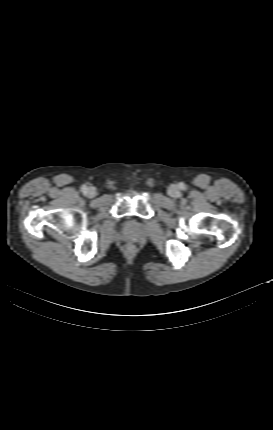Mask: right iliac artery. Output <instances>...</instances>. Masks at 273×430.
<instances>
[{
    "instance_id": "82829eb1",
    "label": "right iliac artery",
    "mask_w": 273,
    "mask_h": 430,
    "mask_svg": "<svg viewBox=\"0 0 273 430\" xmlns=\"http://www.w3.org/2000/svg\"><path fill=\"white\" fill-rule=\"evenodd\" d=\"M87 190H88L87 186L83 185V186L81 187V191H82L83 193H87Z\"/></svg>"
}]
</instances>
